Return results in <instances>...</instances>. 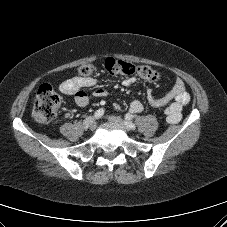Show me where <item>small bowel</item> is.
Returning a JSON list of instances; mask_svg holds the SVG:
<instances>
[{
	"mask_svg": "<svg viewBox=\"0 0 227 227\" xmlns=\"http://www.w3.org/2000/svg\"><path fill=\"white\" fill-rule=\"evenodd\" d=\"M136 82L135 77H126L122 83L124 86H131ZM97 84V81L91 77H73L65 80L59 86L62 93L67 96L73 97L76 104L80 107H84L89 102V97L85 88H93ZM106 90L102 87H96L92 95L97 98L105 97ZM148 103L153 108H159L172 101L165 109L166 122L170 124L178 123L182 118V109L190 101V95L186 91L184 82L181 79H177L173 87L164 95L156 96L151 90L147 92ZM144 111V105L134 100L129 104V113L138 114Z\"/></svg>",
	"mask_w": 227,
	"mask_h": 227,
	"instance_id": "c3829d8e",
	"label": "small bowel"
}]
</instances>
